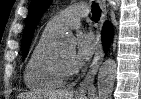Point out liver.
<instances>
[{
  "label": "liver",
  "mask_w": 141,
  "mask_h": 99,
  "mask_svg": "<svg viewBox=\"0 0 141 99\" xmlns=\"http://www.w3.org/2000/svg\"><path fill=\"white\" fill-rule=\"evenodd\" d=\"M74 99V91L61 90L56 92H50L46 94L26 93L19 94L17 99Z\"/></svg>",
  "instance_id": "1"
}]
</instances>
